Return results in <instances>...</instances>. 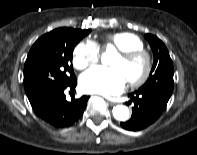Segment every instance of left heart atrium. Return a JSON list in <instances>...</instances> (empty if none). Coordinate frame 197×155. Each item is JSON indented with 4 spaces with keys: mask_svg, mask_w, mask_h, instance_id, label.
I'll list each match as a JSON object with an SVG mask.
<instances>
[{
    "mask_svg": "<svg viewBox=\"0 0 197 155\" xmlns=\"http://www.w3.org/2000/svg\"><path fill=\"white\" fill-rule=\"evenodd\" d=\"M123 73L117 68L96 66L80 76L79 85L83 92L103 96L115 95L126 85Z\"/></svg>",
    "mask_w": 197,
    "mask_h": 155,
    "instance_id": "39dd6f15",
    "label": "left heart atrium"
}]
</instances>
